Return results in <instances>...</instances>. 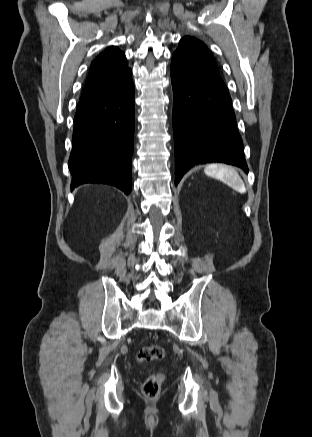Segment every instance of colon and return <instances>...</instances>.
<instances>
[{
	"mask_svg": "<svg viewBox=\"0 0 312 437\" xmlns=\"http://www.w3.org/2000/svg\"><path fill=\"white\" fill-rule=\"evenodd\" d=\"M164 357V349L158 344H149L140 348L137 353L139 362L159 361ZM165 376L162 373L151 374L142 386V392L147 398H155L159 395Z\"/></svg>",
	"mask_w": 312,
	"mask_h": 437,
	"instance_id": "1",
	"label": "colon"
}]
</instances>
